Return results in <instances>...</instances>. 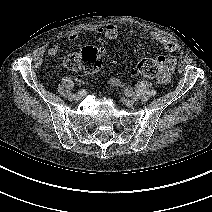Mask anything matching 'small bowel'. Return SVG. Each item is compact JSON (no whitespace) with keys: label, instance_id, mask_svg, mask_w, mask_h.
Instances as JSON below:
<instances>
[{"label":"small bowel","instance_id":"small-bowel-1","mask_svg":"<svg viewBox=\"0 0 212 212\" xmlns=\"http://www.w3.org/2000/svg\"><path fill=\"white\" fill-rule=\"evenodd\" d=\"M86 30L94 34L104 35L107 39L114 40L119 35L120 26L114 23H108L106 25H92L87 27ZM144 32L151 39L160 43L167 53L171 54L177 51L178 46L176 42L167 38L163 34L156 31H152V30H145ZM78 37H79L78 32L73 31L68 35V40L71 42H74L78 39ZM58 53H59V46L57 44H52L47 51V54L49 56H56ZM160 57L164 59L165 64L162 70L163 72L162 77L158 80V82L161 84H165L169 81L171 73L173 72L175 68L176 59L173 56H168V57L160 56ZM77 81L80 82L81 77H78Z\"/></svg>","mask_w":212,"mask_h":212}]
</instances>
